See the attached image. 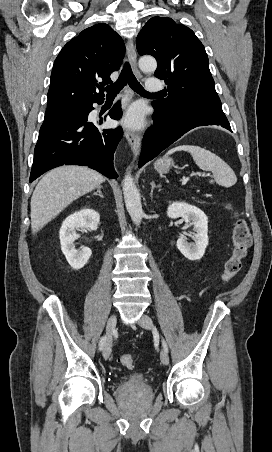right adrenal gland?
Wrapping results in <instances>:
<instances>
[{
    "label": "right adrenal gland",
    "instance_id": "1",
    "mask_svg": "<svg viewBox=\"0 0 272 452\" xmlns=\"http://www.w3.org/2000/svg\"><path fill=\"white\" fill-rule=\"evenodd\" d=\"M101 186H98L97 187V191L93 194V195H98V196H100L101 198H104V196H103V194H102V191H101Z\"/></svg>",
    "mask_w": 272,
    "mask_h": 452
}]
</instances>
